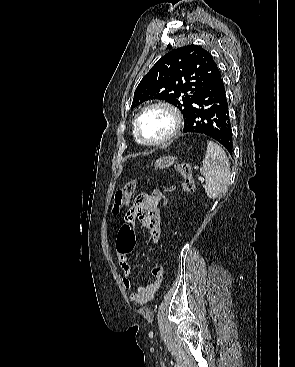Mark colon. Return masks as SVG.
Instances as JSON below:
<instances>
[{"label":"colon","instance_id":"5ec220e1","mask_svg":"<svg viewBox=\"0 0 295 367\" xmlns=\"http://www.w3.org/2000/svg\"><path fill=\"white\" fill-rule=\"evenodd\" d=\"M177 172L181 175L182 190L187 193H191L195 189V182L193 179L192 168L188 163H179L176 165ZM136 187V182L131 181L126 183L122 188H120L114 198V212L118 213L124 206H127L130 202L131 195L133 194ZM161 201L159 202L162 206H167L169 204V196H161ZM134 232L129 224H124L119 233V241L122 248H132L134 246Z\"/></svg>","mask_w":295,"mask_h":367}]
</instances>
